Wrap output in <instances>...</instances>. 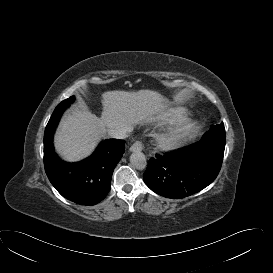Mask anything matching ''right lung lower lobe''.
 Here are the masks:
<instances>
[{
  "label": "right lung lower lobe",
  "mask_w": 273,
  "mask_h": 273,
  "mask_svg": "<svg viewBox=\"0 0 273 273\" xmlns=\"http://www.w3.org/2000/svg\"><path fill=\"white\" fill-rule=\"evenodd\" d=\"M65 109L57 106L45 129V171L63 197L77 204L95 205L110 190L113 170L124 153L125 141L105 140L87 159L76 163L62 161L54 152L53 134Z\"/></svg>",
  "instance_id": "1"
}]
</instances>
